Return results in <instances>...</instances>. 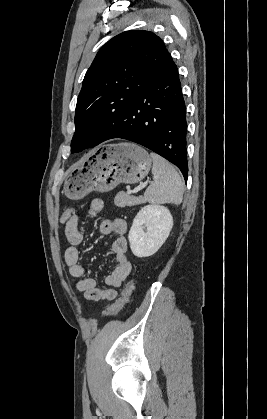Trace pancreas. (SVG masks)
I'll return each mask as SVG.
<instances>
[{
	"label": "pancreas",
	"instance_id": "obj_1",
	"mask_svg": "<svg viewBox=\"0 0 267 419\" xmlns=\"http://www.w3.org/2000/svg\"><path fill=\"white\" fill-rule=\"evenodd\" d=\"M144 202L142 197L130 196L128 193L120 191L114 198V203L117 207L135 206Z\"/></svg>",
	"mask_w": 267,
	"mask_h": 419
}]
</instances>
